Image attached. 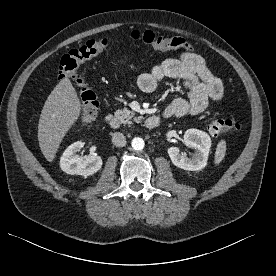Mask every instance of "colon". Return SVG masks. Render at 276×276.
Instances as JSON below:
<instances>
[{"instance_id":"1","label":"colon","mask_w":276,"mask_h":276,"mask_svg":"<svg viewBox=\"0 0 276 276\" xmlns=\"http://www.w3.org/2000/svg\"><path fill=\"white\" fill-rule=\"evenodd\" d=\"M130 40L142 43L158 51H191L192 46L182 37L162 36L150 30H133ZM113 41L108 38L91 39L82 46L70 50L60 60L59 74L61 78H69L74 84L80 105L79 119L83 123L91 122L98 111V101L95 93L85 80L78 74L79 66L112 48ZM207 131L214 137L237 133L239 123L233 120L211 119L205 124Z\"/></svg>"}]
</instances>
